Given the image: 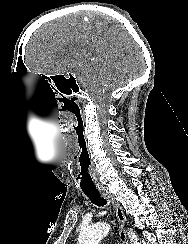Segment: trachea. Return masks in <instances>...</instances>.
I'll return each instance as SVG.
<instances>
[{
  "instance_id": "3493384b",
  "label": "trachea",
  "mask_w": 188,
  "mask_h": 244,
  "mask_svg": "<svg viewBox=\"0 0 188 244\" xmlns=\"http://www.w3.org/2000/svg\"><path fill=\"white\" fill-rule=\"evenodd\" d=\"M81 188H83L84 194L90 199V201L97 206H104L107 201L102 198L96 187V180H80Z\"/></svg>"
}]
</instances>
